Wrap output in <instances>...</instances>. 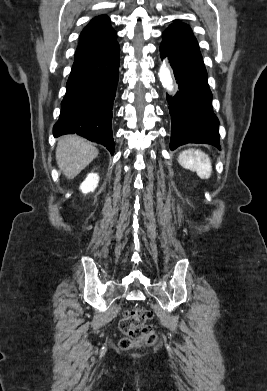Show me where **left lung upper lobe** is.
Instances as JSON below:
<instances>
[{"mask_svg": "<svg viewBox=\"0 0 267 391\" xmlns=\"http://www.w3.org/2000/svg\"><path fill=\"white\" fill-rule=\"evenodd\" d=\"M171 25L178 26L180 28H183V29L188 30V31L191 32V28L189 27V25H187L185 23H182V22H180L178 20L174 21V23L171 24Z\"/></svg>", "mask_w": 267, "mask_h": 391, "instance_id": "1", "label": "left lung upper lobe"}]
</instances>
